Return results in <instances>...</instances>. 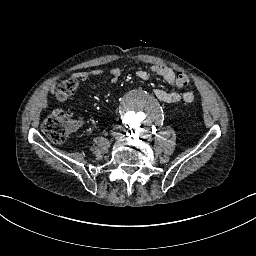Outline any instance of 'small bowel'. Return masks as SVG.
<instances>
[{
	"label": "small bowel",
	"mask_w": 256,
	"mask_h": 256,
	"mask_svg": "<svg viewBox=\"0 0 256 256\" xmlns=\"http://www.w3.org/2000/svg\"><path fill=\"white\" fill-rule=\"evenodd\" d=\"M150 73L160 76L169 85H175L177 74L168 66L165 65H153L149 71L140 70L137 72V76L142 80H148ZM104 72L100 69H93L91 71H81L75 74V77L81 81H87L91 77H101ZM121 76V69L113 67L109 71V77L111 83H116ZM155 96L164 103H175L183 100L185 103H191L194 100V93L191 91H185L183 93L175 91H167L158 88L154 91Z\"/></svg>",
	"instance_id": "1"
}]
</instances>
